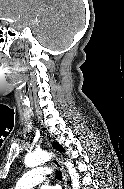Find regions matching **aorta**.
<instances>
[{"instance_id": "1", "label": "aorta", "mask_w": 124, "mask_h": 189, "mask_svg": "<svg viewBox=\"0 0 124 189\" xmlns=\"http://www.w3.org/2000/svg\"><path fill=\"white\" fill-rule=\"evenodd\" d=\"M51 159V155L46 151H35L25 156L24 163L27 167H36L42 163H45ZM69 175L72 180L73 189H80L79 174L74 168L71 162H65Z\"/></svg>"}]
</instances>
